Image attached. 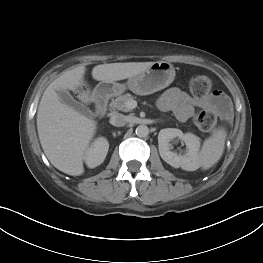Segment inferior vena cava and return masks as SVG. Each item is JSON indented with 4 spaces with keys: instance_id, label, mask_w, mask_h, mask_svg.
I'll return each mask as SVG.
<instances>
[{
    "instance_id": "obj_1",
    "label": "inferior vena cava",
    "mask_w": 263,
    "mask_h": 263,
    "mask_svg": "<svg viewBox=\"0 0 263 263\" xmlns=\"http://www.w3.org/2000/svg\"><path fill=\"white\" fill-rule=\"evenodd\" d=\"M109 122L113 126L122 127L126 124V117L121 113H113Z\"/></svg>"
}]
</instances>
